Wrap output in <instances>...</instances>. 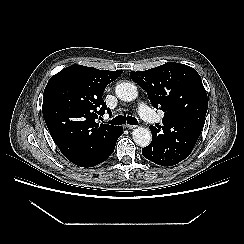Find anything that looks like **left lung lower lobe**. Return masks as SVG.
I'll use <instances>...</instances> for the list:
<instances>
[{
	"mask_svg": "<svg viewBox=\"0 0 244 244\" xmlns=\"http://www.w3.org/2000/svg\"><path fill=\"white\" fill-rule=\"evenodd\" d=\"M142 154L146 159H148V160H150L156 164L159 163V160H158L156 153L154 152V150L150 146L143 148Z\"/></svg>",
	"mask_w": 244,
	"mask_h": 244,
	"instance_id": "1",
	"label": "left lung lower lobe"
}]
</instances>
